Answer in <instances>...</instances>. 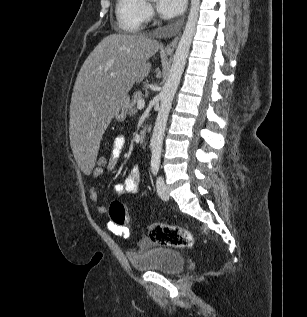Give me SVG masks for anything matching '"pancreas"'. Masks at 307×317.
<instances>
[{"label": "pancreas", "instance_id": "1", "mask_svg": "<svg viewBox=\"0 0 307 317\" xmlns=\"http://www.w3.org/2000/svg\"><path fill=\"white\" fill-rule=\"evenodd\" d=\"M142 99L143 98L140 91H136L133 93L132 101L127 104V111L129 115H133L137 112V102Z\"/></svg>", "mask_w": 307, "mask_h": 317}]
</instances>
